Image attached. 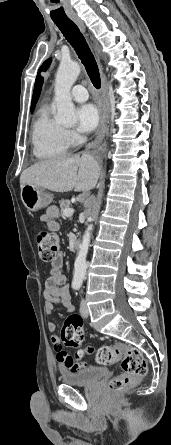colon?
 <instances>
[{
	"label": "colon",
	"instance_id": "5ec220e1",
	"mask_svg": "<svg viewBox=\"0 0 171 445\" xmlns=\"http://www.w3.org/2000/svg\"><path fill=\"white\" fill-rule=\"evenodd\" d=\"M39 256L44 262H52L59 250V238L50 231L39 229L35 234ZM83 319L79 315H70L66 318L62 331L61 341L66 346L79 347L83 344ZM93 352L91 347L86 353ZM80 353H78V356ZM96 361L101 365H112L121 361L122 372L112 378L107 386L110 394L122 393L133 387L147 372V364L142 353L133 347L122 343L103 346L96 352Z\"/></svg>",
	"mask_w": 171,
	"mask_h": 445
}]
</instances>
